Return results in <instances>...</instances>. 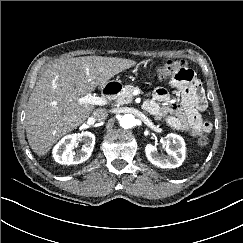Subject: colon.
I'll return each mask as SVG.
<instances>
[{
    "instance_id": "colon-1",
    "label": "colon",
    "mask_w": 243,
    "mask_h": 243,
    "mask_svg": "<svg viewBox=\"0 0 243 243\" xmlns=\"http://www.w3.org/2000/svg\"><path fill=\"white\" fill-rule=\"evenodd\" d=\"M190 72L191 70L187 67L184 60H168L159 68L158 77L161 80H184L189 76ZM197 142L200 146H205L209 140L206 136H200Z\"/></svg>"
}]
</instances>
